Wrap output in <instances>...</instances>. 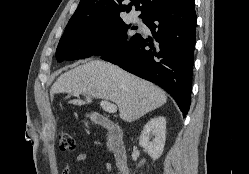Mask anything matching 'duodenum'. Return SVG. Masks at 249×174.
<instances>
[{"label":"duodenum","instance_id":"1","mask_svg":"<svg viewBox=\"0 0 249 174\" xmlns=\"http://www.w3.org/2000/svg\"><path fill=\"white\" fill-rule=\"evenodd\" d=\"M93 119L96 124L106 129L108 132L109 143L113 151L119 174H130L128 155L123 141V131L120 126L100 114H95Z\"/></svg>","mask_w":249,"mask_h":174}]
</instances>
